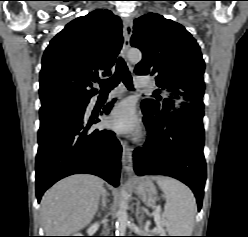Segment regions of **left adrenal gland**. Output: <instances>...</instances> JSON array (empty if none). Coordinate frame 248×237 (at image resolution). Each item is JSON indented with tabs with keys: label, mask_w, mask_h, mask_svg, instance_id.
I'll return each instance as SVG.
<instances>
[{
	"label": "left adrenal gland",
	"mask_w": 248,
	"mask_h": 237,
	"mask_svg": "<svg viewBox=\"0 0 248 237\" xmlns=\"http://www.w3.org/2000/svg\"><path fill=\"white\" fill-rule=\"evenodd\" d=\"M136 218L139 222H141L144 218V214L140 212V202H137V207H136Z\"/></svg>",
	"instance_id": "a2214340"
}]
</instances>
